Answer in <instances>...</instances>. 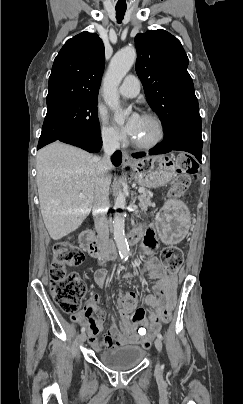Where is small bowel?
<instances>
[{"label": "small bowel", "mask_w": 243, "mask_h": 404, "mask_svg": "<svg viewBox=\"0 0 243 404\" xmlns=\"http://www.w3.org/2000/svg\"><path fill=\"white\" fill-rule=\"evenodd\" d=\"M142 234L141 249L145 254V265L153 269L159 278L154 287L155 294L148 295L145 299V303L151 311L147 316L143 308H137L130 316L123 318L122 329L113 324L110 328V334L99 339V296L97 294L92 295L86 304L85 311L72 316V320L87 325L89 343L97 351L132 345L139 341H149L161 329L162 323H166L164 316L170 315L174 307L178 278L176 275L166 274L157 258L154 257L153 253L157 247L154 230L147 228ZM105 275L104 270L96 272L95 280L99 286H103Z\"/></svg>", "instance_id": "obj_1"}]
</instances>
